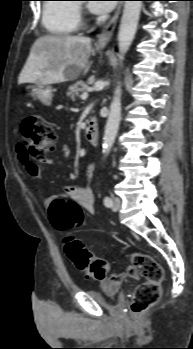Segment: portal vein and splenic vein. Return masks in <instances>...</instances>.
<instances>
[{
	"label": "portal vein and splenic vein",
	"instance_id": "18ae733b",
	"mask_svg": "<svg viewBox=\"0 0 193 349\" xmlns=\"http://www.w3.org/2000/svg\"><path fill=\"white\" fill-rule=\"evenodd\" d=\"M87 97H88V92L82 93L81 99L85 100V99H87Z\"/></svg>",
	"mask_w": 193,
	"mask_h": 349
}]
</instances>
